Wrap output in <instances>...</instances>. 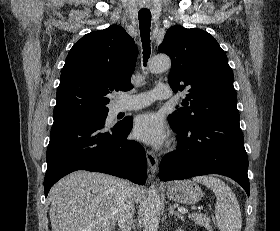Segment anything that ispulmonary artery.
I'll return each instance as SVG.
<instances>
[{"instance_id": "obj_1", "label": "pulmonary artery", "mask_w": 280, "mask_h": 231, "mask_svg": "<svg viewBox=\"0 0 280 231\" xmlns=\"http://www.w3.org/2000/svg\"><path fill=\"white\" fill-rule=\"evenodd\" d=\"M172 92L166 84H158L153 90L133 95L135 101L120 104V112L143 108L156 100L170 98Z\"/></svg>"}]
</instances>
